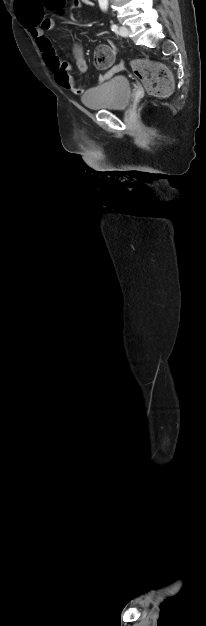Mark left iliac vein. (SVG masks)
<instances>
[{"label":"left iliac vein","instance_id":"left-iliac-vein-1","mask_svg":"<svg viewBox=\"0 0 206 626\" xmlns=\"http://www.w3.org/2000/svg\"><path fill=\"white\" fill-rule=\"evenodd\" d=\"M119 34L123 37H128L129 36V29L126 26H121L119 28Z\"/></svg>","mask_w":206,"mask_h":626}]
</instances>
